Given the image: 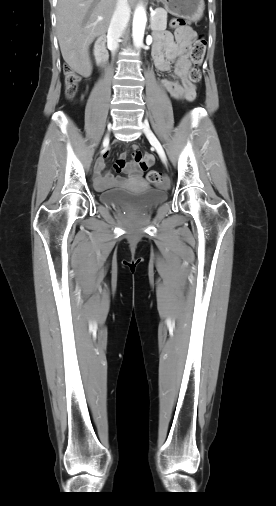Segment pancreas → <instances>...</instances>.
I'll use <instances>...</instances> for the list:
<instances>
[{
	"mask_svg": "<svg viewBox=\"0 0 276 506\" xmlns=\"http://www.w3.org/2000/svg\"><path fill=\"white\" fill-rule=\"evenodd\" d=\"M167 26V11L163 8L156 9L154 17L151 19V28L155 31H164Z\"/></svg>",
	"mask_w": 276,
	"mask_h": 506,
	"instance_id": "cf45deb5",
	"label": "pancreas"
}]
</instances>
